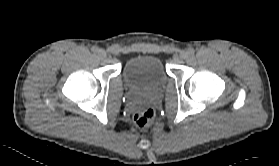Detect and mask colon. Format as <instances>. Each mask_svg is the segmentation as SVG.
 <instances>
[{"label": "colon", "instance_id": "colon-1", "mask_svg": "<svg viewBox=\"0 0 279 166\" xmlns=\"http://www.w3.org/2000/svg\"><path fill=\"white\" fill-rule=\"evenodd\" d=\"M153 118L154 110L150 107L138 110L133 116L134 122L140 129L147 128L152 123Z\"/></svg>", "mask_w": 279, "mask_h": 166}]
</instances>
